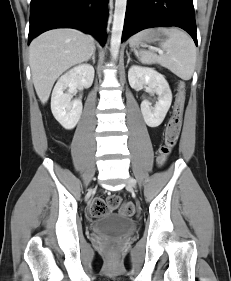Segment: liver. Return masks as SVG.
Instances as JSON below:
<instances>
[{"instance_id": "obj_1", "label": "liver", "mask_w": 231, "mask_h": 281, "mask_svg": "<svg viewBox=\"0 0 231 281\" xmlns=\"http://www.w3.org/2000/svg\"><path fill=\"white\" fill-rule=\"evenodd\" d=\"M95 51L93 37L75 29H55L35 38L29 49L32 80L45 104L57 78L70 67L88 61Z\"/></svg>"}]
</instances>
